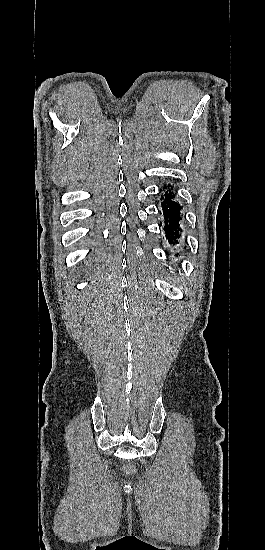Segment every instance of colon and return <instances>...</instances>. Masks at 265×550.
Segmentation results:
<instances>
[{
	"mask_svg": "<svg viewBox=\"0 0 265 550\" xmlns=\"http://www.w3.org/2000/svg\"><path fill=\"white\" fill-rule=\"evenodd\" d=\"M126 470H127V471H130V470H131V468H130V467H127V468H126Z\"/></svg>",
	"mask_w": 265,
	"mask_h": 550,
	"instance_id": "obj_1",
	"label": "colon"
}]
</instances>
